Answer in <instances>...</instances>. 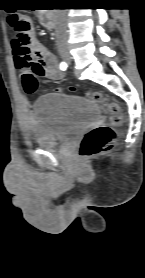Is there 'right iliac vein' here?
<instances>
[{"instance_id":"1","label":"right iliac vein","mask_w":145,"mask_h":278,"mask_svg":"<svg viewBox=\"0 0 145 278\" xmlns=\"http://www.w3.org/2000/svg\"><path fill=\"white\" fill-rule=\"evenodd\" d=\"M60 54L62 55V57L64 58L65 61H69V54L66 49H61Z\"/></svg>"}]
</instances>
